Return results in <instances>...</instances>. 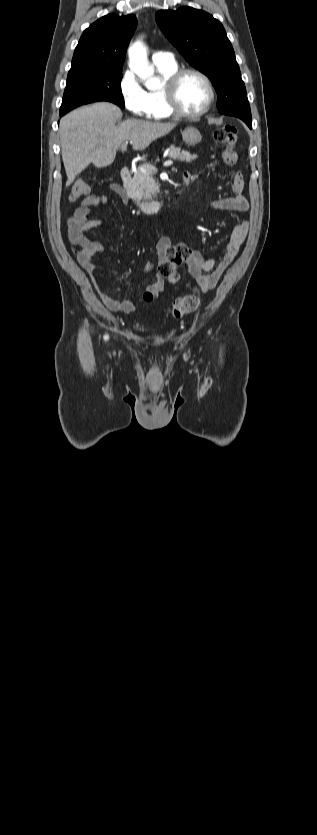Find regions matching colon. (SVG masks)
Segmentation results:
<instances>
[{"mask_svg":"<svg viewBox=\"0 0 317 835\" xmlns=\"http://www.w3.org/2000/svg\"><path fill=\"white\" fill-rule=\"evenodd\" d=\"M214 138L227 151H232V148L236 142V129L231 125H226L217 128L214 131ZM88 191V185L82 180H77L73 183L71 187L69 198L71 201H76L84 197L88 193ZM192 252L193 250L187 246L183 258H187ZM180 259L181 257H176V259L173 261H164L160 263L157 267L158 272L162 276H164L171 284H176L180 279L178 272ZM142 297L144 301L151 302L154 298V293L150 290H146L143 293ZM199 305V296L196 293H190L175 299V301L172 303L169 312L173 317L179 318L184 314L195 311L196 309H198Z\"/></svg>","mask_w":317,"mask_h":835,"instance_id":"colon-1","label":"colon"}]
</instances>
